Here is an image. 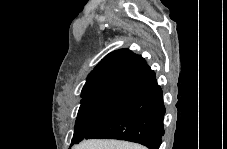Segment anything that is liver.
Segmentation results:
<instances>
[{"mask_svg": "<svg viewBox=\"0 0 227 149\" xmlns=\"http://www.w3.org/2000/svg\"><path fill=\"white\" fill-rule=\"evenodd\" d=\"M77 149H145V147L126 141L92 139L84 141Z\"/></svg>", "mask_w": 227, "mask_h": 149, "instance_id": "1", "label": "liver"}]
</instances>
